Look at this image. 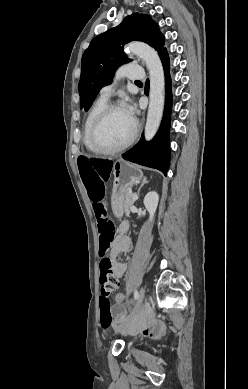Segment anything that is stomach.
Instances as JSON below:
<instances>
[{
    "label": "stomach",
    "mask_w": 248,
    "mask_h": 389,
    "mask_svg": "<svg viewBox=\"0 0 248 389\" xmlns=\"http://www.w3.org/2000/svg\"><path fill=\"white\" fill-rule=\"evenodd\" d=\"M114 175L111 203L114 216H123L125 192L143 178V172L137 165L118 159L112 163Z\"/></svg>",
    "instance_id": "obj_1"
}]
</instances>
